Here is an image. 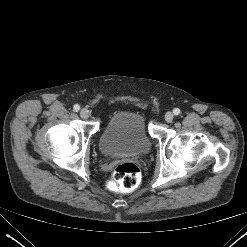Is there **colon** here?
I'll list each match as a JSON object with an SVG mask.
<instances>
[{
    "label": "colon",
    "mask_w": 247,
    "mask_h": 247,
    "mask_svg": "<svg viewBox=\"0 0 247 247\" xmlns=\"http://www.w3.org/2000/svg\"><path fill=\"white\" fill-rule=\"evenodd\" d=\"M141 181L139 167L131 162L117 165L112 173L109 187L114 190L128 192L136 189Z\"/></svg>",
    "instance_id": "colon-1"
}]
</instances>
